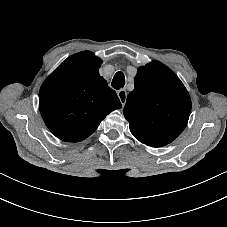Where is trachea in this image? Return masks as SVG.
<instances>
[{"label":"trachea","instance_id":"1","mask_svg":"<svg viewBox=\"0 0 227 227\" xmlns=\"http://www.w3.org/2000/svg\"><path fill=\"white\" fill-rule=\"evenodd\" d=\"M125 84V76L121 71L116 72L112 80V87L116 90L123 87Z\"/></svg>","mask_w":227,"mask_h":227}]
</instances>
